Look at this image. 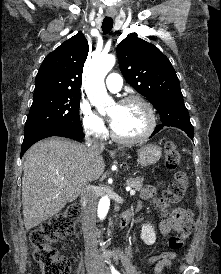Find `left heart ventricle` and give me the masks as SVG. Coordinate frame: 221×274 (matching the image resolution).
I'll return each mask as SVG.
<instances>
[{
  "instance_id": "left-heart-ventricle-1",
  "label": "left heart ventricle",
  "mask_w": 221,
  "mask_h": 274,
  "mask_svg": "<svg viewBox=\"0 0 221 274\" xmlns=\"http://www.w3.org/2000/svg\"><path fill=\"white\" fill-rule=\"evenodd\" d=\"M108 115L113 120L112 127L122 137H136L142 134L148 125L145 108L139 103L114 105Z\"/></svg>"
}]
</instances>
